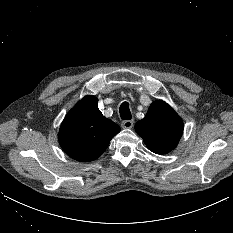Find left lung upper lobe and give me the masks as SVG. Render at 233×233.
Instances as JSON below:
<instances>
[{
    "label": "left lung upper lobe",
    "mask_w": 233,
    "mask_h": 233,
    "mask_svg": "<svg viewBox=\"0 0 233 233\" xmlns=\"http://www.w3.org/2000/svg\"><path fill=\"white\" fill-rule=\"evenodd\" d=\"M136 132L149 150L166 154L173 150L183 132V121L164 101L153 102L146 116L135 124Z\"/></svg>",
    "instance_id": "5c2ea615"
}]
</instances>
